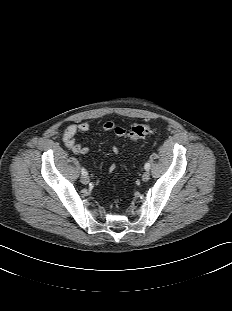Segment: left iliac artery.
<instances>
[{"label": "left iliac artery", "mask_w": 232, "mask_h": 311, "mask_svg": "<svg viewBox=\"0 0 232 311\" xmlns=\"http://www.w3.org/2000/svg\"><path fill=\"white\" fill-rule=\"evenodd\" d=\"M144 168H145V170H149V169H150V163L147 162V163L145 164Z\"/></svg>", "instance_id": "44dca946"}]
</instances>
